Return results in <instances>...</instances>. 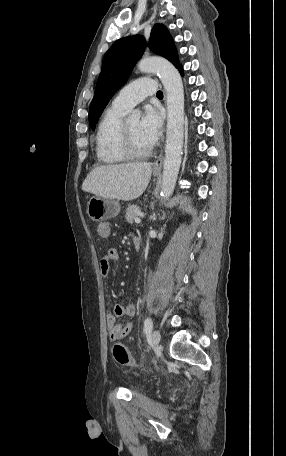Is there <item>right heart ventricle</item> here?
<instances>
[{
  "instance_id": "1",
  "label": "right heart ventricle",
  "mask_w": 286,
  "mask_h": 456,
  "mask_svg": "<svg viewBox=\"0 0 286 456\" xmlns=\"http://www.w3.org/2000/svg\"><path fill=\"white\" fill-rule=\"evenodd\" d=\"M127 111L110 106L104 113L95 136L98 160L107 165H115L127 160L121 149L120 130L122 119Z\"/></svg>"
}]
</instances>
